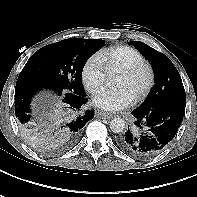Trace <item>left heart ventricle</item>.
Wrapping results in <instances>:
<instances>
[{
  "mask_svg": "<svg viewBox=\"0 0 197 197\" xmlns=\"http://www.w3.org/2000/svg\"><path fill=\"white\" fill-rule=\"evenodd\" d=\"M147 80V75L145 72L140 73L134 78H128L122 74L119 75L117 80L118 87L127 88L130 93L135 97L144 87Z\"/></svg>",
  "mask_w": 197,
  "mask_h": 197,
  "instance_id": "b2bd125f",
  "label": "left heart ventricle"
}]
</instances>
